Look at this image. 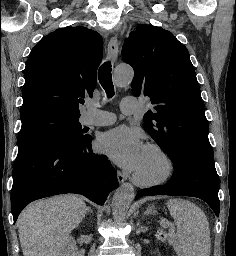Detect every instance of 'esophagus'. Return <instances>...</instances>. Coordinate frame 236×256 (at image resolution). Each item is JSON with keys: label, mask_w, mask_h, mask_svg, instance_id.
Masks as SVG:
<instances>
[{"label": "esophagus", "mask_w": 236, "mask_h": 256, "mask_svg": "<svg viewBox=\"0 0 236 256\" xmlns=\"http://www.w3.org/2000/svg\"><path fill=\"white\" fill-rule=\"evenodd\" d=\"M118 52H119V47H118L117 37H112L108 43L107 56L112 62H115L118 57ZM117 178L119 183H123L127 179V176H125V174H123L121 171L118 170Z\"/></svg>", "instance_id": "obj_1"}]
</instances>
